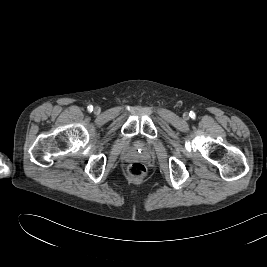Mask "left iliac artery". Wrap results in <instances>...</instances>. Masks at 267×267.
<instances>
[{
  "label": "left iliac artery",
  "instance_id": "obj_1",
  "mask_svg": "<svg viewBox=\"0 0 267 267\" xmlns=\"http://www.w3.org/2000/svg\"><path fill=\"white\" fill-rule=\"evenodd\" d=\"M189 115H190L191 118H195V116H196L193 111H191Z\"/></svg>",
  "mask_w": 267,
  "mask_h": 267
}]
</instances>
